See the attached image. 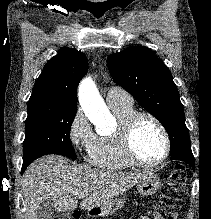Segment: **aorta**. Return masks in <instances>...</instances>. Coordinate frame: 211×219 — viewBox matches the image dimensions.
<instances>
[{"label":"aorta","instance_id":"1","mask_svg":"<svg viewBox=\"0 0 211 219\" xmlns=\"http://www.w3.org/2000/svg\"><path fill=\"white\" fill-rule=\"evenodd\" d=\"M79 102L92 122L100 123L109 117V111L90 78H86L80 85Z\"/></svg>","mask_w":211,"mask_h":219}]
</instances>
